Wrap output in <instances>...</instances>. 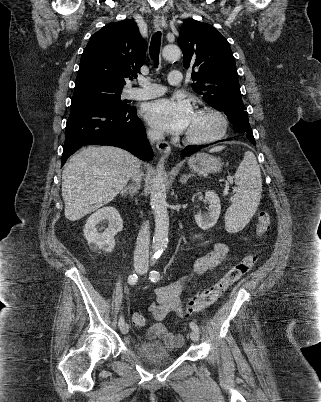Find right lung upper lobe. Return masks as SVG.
<instances>
[{"instance_id":"obj_1","label":"right lung upper lobe","mask_w":321,"mask_h":402,"mask_svg":"<svg viewBox=\"0 0 321 402\" xmlns=\"http://www.w3.org/2000/svg\"><path fill=\"white\" fill-rule=\"evenodd\" d=\"M147 42L136 23H110L93 34L81 56L76 84L99 83L123 89L125 78L136 75L146 59Z\"/></svg>"}]
</instances>
